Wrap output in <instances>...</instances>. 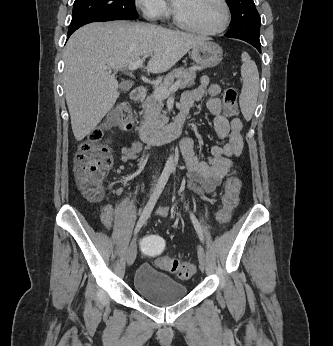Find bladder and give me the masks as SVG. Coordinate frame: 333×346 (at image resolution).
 Listing matches in <instances>:
<instances>
[{"mask_svg":"<svg viewBox=\"0 0 333 346\" xmlns=\"http://www.w3.org/2000/svg\"><path fill=\"white\" fill-rule=\"evenodd\" d=\"M133 287L142 298L156 305L179 302L187 294L185 284L158 271L149 263H143L138 267L134 275Z\"/></svg>","mask_w":333,"mask_h":346,"instance_id":"obj_1","label":"bladder"}]
</instances>
